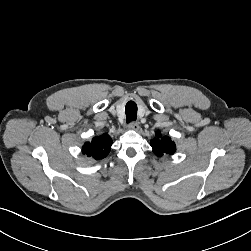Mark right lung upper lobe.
Returning <instances> with one entry per match:
<instances>
[{"label": "right lung upper lobe", "mask_w": 251, "mask_h": 251, "mask_svg": "<svg viewBox=\"0 0 251 251\" xmlns=\"http://www.w3.org/2000/svg\"><path fill=\"white\" fill-rule=\"evenodd\" d=\"M112 143L111 137L103 134L94 137L91 142H86L82 147V152L95 160L103 159L110 152Z\"/></svg>", "instance_id": "obj_1"}]
</instances>
